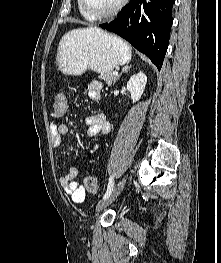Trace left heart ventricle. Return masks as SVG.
Returning <instances> with one entry per match:
<instances>
[{
  "mask_svg": "<svg viewBox=\"0 0 221 263\" xmlns=\"http://www.w3.org/2000/svg\"><path fill=\"white\" fill-rule=\"evenodd\" d=\"M120 0H86L89 10L95 14H100L113 9Z\"/></svg>",
  "mask_w": 221,
  "mask_h": 263,
  "instance_id": "1",
  "label": "left heart ventricle"
}]
</instances>
